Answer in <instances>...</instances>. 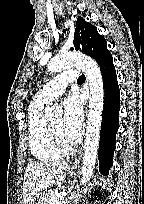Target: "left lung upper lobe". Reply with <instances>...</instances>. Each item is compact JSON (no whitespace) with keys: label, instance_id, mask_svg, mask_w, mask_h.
Wrapping results in <instances>:
<instances>
[{"label":"left lung upper lobe","instance_id":"left-lung-upper-lobe-1","mask_svg":"<svg viewBox=\"0 0 144 204\" xmlns=\"http://www.w3.org/2000/svg\"><path fill=\"white\" fill-rule=\"evenodd\" d=\"M71 50L80 51L93 57L98 64L107 57H112L107 49L105 38L98 34L96 27L80 16L76 21L74 42Z\"/></svg>","mask_w":144,"mask_h":204}]
</instances>
